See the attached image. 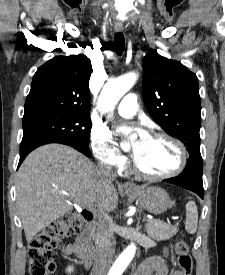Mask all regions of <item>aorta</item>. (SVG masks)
<instances>
[{"mask_svg": "<svg viewBox=\"0 0 225 275\" xmlns=\"http://www.w3.org/2000/svg\"><path fill=\"white\" fill-rule=\"evenodd\" d=\"M137 74L134 72L125 74L117 79L108 81L99 96L98 108L103 113L112 112L121 97L135 84ZM136 252V246L131 243L116 259L109 275H122L132 261Z\"/></svg>", "mask_w": 225, "mask_h": 275, "instance_id": "762f6f07", "label": "aorta"}]
</instances>
